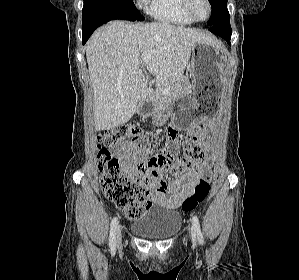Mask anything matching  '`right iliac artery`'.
I'll return each mask as SVG.
<instances>
[{
  "label": "right iliac artery",
  "instance_id": "82829eb1",
  "mask_svg": "<svg viewBox=\"0 0 299 280\" xmlns=\"http://www.w3.org/2000/svg\"><path fill=\"white\" fill-rule=\"evenodd\" d=\"M118 224L117 217L113 218L110 226V236H109V246L111 250H115L116 248V228Z\"/></svg>",
  "mask_w": 299,
  "mask_h": 280
}]
</instances>
